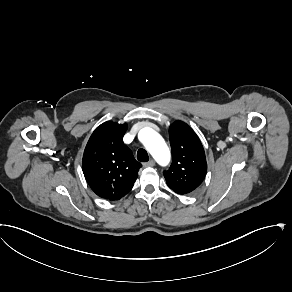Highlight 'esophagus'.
<instances>
[{"mask_svg": "<svg viewBox=\"0 0 292 292\" xmlns=\"http://www.w3.org/2000/svg\"><path fill=\"white\" fill-rule=\"evenodd\" d=\"M153 166H155L154 160H150V161L144 163V167H153Z\"/></svg>", "mask_w": 292, "mask_h": 292, "instance_id": "esophagus-1", "label": "esophagus"}]
</instances>
